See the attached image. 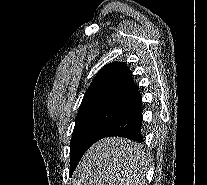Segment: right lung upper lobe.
I'll use <instances>...</instances> for the list:
<instances>
[{
  "label": "right lung upper lobe",
  "instance_id": "1",
  "mask_svg": "<svg viewBox=\"0 0 207 185\" xmlns=\"http://www.w3.org/2000/svg\"><path fill=\"white\" fill-rule=\"evenodd\" d=\"M139 98L130 69L125 63L113 62L98 72L83 97L79 113L97 108L125 111Z\"/></svg>",
  "mask_w": 207,
  "mask_h": 185
}]
</instances>
